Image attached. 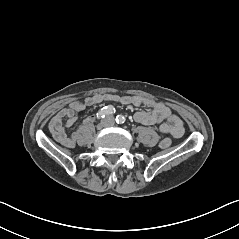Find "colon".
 I'll use <instances>...</instances> for the list:
<instances>
[{
    "instance_id": "obj_1",
    "label": "colon",
    "mask_w": 239,
    "mask_h": 239,
    "mask_svg": "<svg viewBox=\"0 0 239 239\" xmlns=\"http://www.w3.org/2000/svg\"><path fill=\"white\" fill-rule=\"evenodd\" d=\"M171 145V139L165 138L160 142L161 148H168Z\"/></svg>"
}]
</instances>
